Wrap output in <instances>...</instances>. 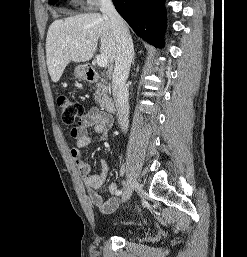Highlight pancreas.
<instances>
[{
    "label": "pancreas",
    "mask_w": 247,
    "mask_h": 257,
    "mask_svg": "<svg viewBox=\"0 0 247 257\" xmlns=\"http://www.w3.org/2000/svg\"><path fill=\"white\" fill-rule=\"evenodd\" d=\"M96 88L97 90L94 94L95 101L100 107H105L108 101V94H110V85L105 79H101V82L96 84Z\"/></svg>",
    "instance_id": "pancreas-1"
}]
</instances>
